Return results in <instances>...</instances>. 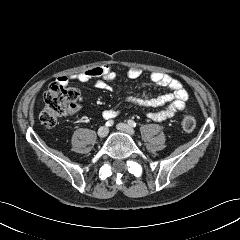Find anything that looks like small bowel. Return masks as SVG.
Wrapping results in <instances>:
<instances>
[{
  "mask_svg": "<svg viewBox=\"0 0 240 240\" xmlns=\"http://www.w3.org/2000/svg\"><path fill=\"white\" fill-rule=\"evenodd\" d=\"M140 74L141 72L137 68H130L127 71L128 77L132 79L139 77ZM115 79L116 73L110 66L99 65L88 68L77 74L60 76L57 78L56 83L66 86L71 81H78L81 83L94 81L97 88L112 90L111 83L115 81ZM150 85L168 89L169 92L157 97L144 96L142 98H136L129 95L127 90L124 89L120 95L127 102L149 109L147 116L155 121L170 119L185 108L188 93L179 80L166 73L152 72L150 74ZM103 115L105 118H114L116 116V111L107 110Z\"/></svg>",
  "mask_w": 240,
  "mask_h": 240,
  "instance_id": "obj_1",
  "label": "small bowel"
}]
</instances>
